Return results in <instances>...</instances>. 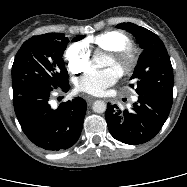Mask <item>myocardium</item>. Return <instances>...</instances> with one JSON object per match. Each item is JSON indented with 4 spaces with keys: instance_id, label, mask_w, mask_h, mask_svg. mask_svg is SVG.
I'll return each instance as SVG.
<instances>
[{
    "instance_id": "1",
    "label": "myocardium",
    "mask_w": 187,
    "mask_h": 187,
    "mask_svg": "<svg viewBox=\"0 0 187 187\" xmlns=\"http://www.w3.org/2000/svg\"><path fill=\"white\" fill-rule=\"evenodd\" d=\"M110 56L120 65L123 75L132 74L138 63V57L131 48L111 51Z\"/></svg>"
}]
</instances>
